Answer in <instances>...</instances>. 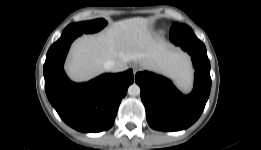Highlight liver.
<instances>
[{"instance_id":"obj_1","label":"liver","mask_w":261,"mask_h":150,"mask_svg":"<svg viewBox=\"0 0 261 150\" xmlns=\"http://www.w3.org/2000/svg\"><path fill=\"white\" fill-rule=\"evenodd\" d=\"M148 24L147 19L140 17L125 19L101 33L77 39L66 65L69 76L85 81L107 70V61L124 60L179 77L186 71L185 55L163 41H155Z\"/></svg>"}]
</instances>
